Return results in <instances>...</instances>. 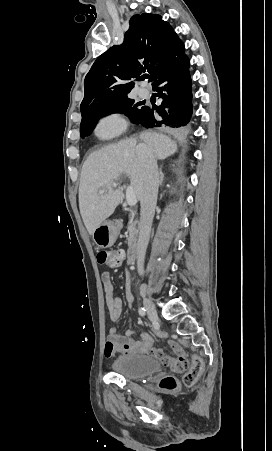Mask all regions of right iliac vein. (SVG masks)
I'll use <instances>...</instances> for the list:
<instances>
[{
	"label": "right iliac vein",
	"mask_w": 272,
	"mask_h": 451,
	"mask_svg": "<svg viewBox=\"0 0 272 451\" xmlns=\"http://www.w3.org/2000/svg\"><path fill=\"white\" fill-rule=\"evenodd\" d=\"M144 306L146 308V311H147L148 315L152 319H157L158 318L157 311L155 309V306H154L153 302L147 297H144Z\"/></svg>",
	"instance_id": "obj_1"
}]
</instances>
